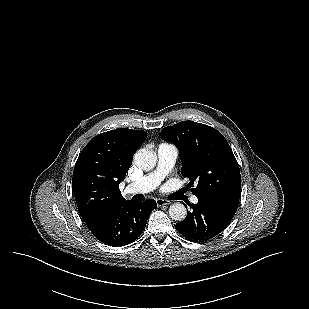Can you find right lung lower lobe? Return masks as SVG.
I'll list each match as a JSON object with an SVG mask.
<instances>
[{
	"instance_id": "98d812e1",
	"label": "right lung lower lobe",
	"mask_w": 309,
	"mask_h": 309,
	"mask_svg": "<svg viewBox=\"0 0 309 309\" xmlns=\"http://www.w3.org/2000/svg\"><path fill=\"white\" fill-rule=\"evenodd\" d=\"M156 207V202L150 199L141 203L127 201L110 210L98 224L89 229L107 245H128L141 235L150 212Z\"/></svg>"
}]
</instances>
